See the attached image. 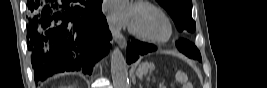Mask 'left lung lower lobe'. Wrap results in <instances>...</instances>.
Instances as JSON below:
<instances>
[{"mask_svg": "<svg viewBox=\"0 0 267 88\" xmlns=\"http://www.w3.org/2000/svg\"><path fill=\"white\" fill-rule=\"evenodd\" d=\"M178 49L190 58H195L201 61L199 50L189 41L181 39L176 43ZM157 50V47L152 44L132 40L127 47V63L130 64L139 58V55L146 54Z\"/></svg>", "mask_w": 267, "mask_h": 88, "instance_id": "1", "label": "left lung lower lobe"}]
</instances>
